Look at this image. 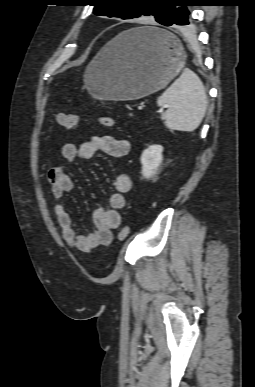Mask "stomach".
<instances>
[{"label": "stomach", "instance_id": "stomach-1", "mask_svg": "<svg viewBox=\"0 0 255 387\" xmlns=\"http://www.w3.org/2000/svg\"><path fill=\"white\" fill-rule=\"evenodd\" d=\"M155 31L160 39L141 34ZM185 52L179 40L157 27H137L107 43L84 73L85 87L93 97L135 100L165 87L184 66Z\"/></svg>", "mask_w": 255, "mask_h": 387}]
</instances>
